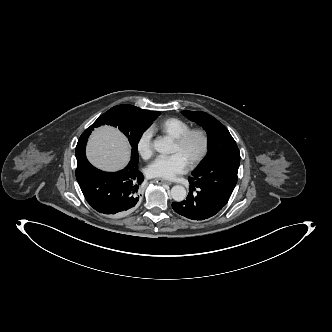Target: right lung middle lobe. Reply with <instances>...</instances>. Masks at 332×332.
Listing matches in <instances>:
<instances>
[{"label": "right lung middle lobe", "instance_id": "dd1d6c3e", "mask_svg": "<svg viewBox=\"0 0 332 332\" xmlns=\"http://www.w3.org/2000/svg\"><path fill=\"white\" fill-rule=\"evenodd\" d=\"M159 115L160 112L143 110L132 105H118L101 115L89 128L92 130L94 127L104 124L118 127L128 138L132 147L131 160L128 166L138 169L139 156L137 144L143 132ZM86 142L87 139L82 136L78 140L76 146L77 164L83 161Z\"/></svg>", "mask_w": 332, "mask_h": 332}]
</instances>
